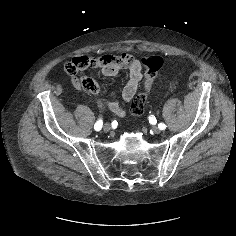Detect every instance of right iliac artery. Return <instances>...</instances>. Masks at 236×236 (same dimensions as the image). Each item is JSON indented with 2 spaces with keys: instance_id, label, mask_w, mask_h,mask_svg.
<instances>
[{
  "instance_id": "82829eb1",
  "label": "right iliac artery",
  "mask_w": 236,
  "mask_h": 236,
  "mask_svg": "<svg viewBox=\"0 0 236 236\" xmlns=\"http://www.w3.org/2000/svg\"><path fill=\"white\" fill-rule=\"evenodd\" d=\"M102 125H103V121L100 119V120H98V121L95 123L94 129H95L96 131H100L101 128H102Z\"/></svg>"
}]
</instances>
